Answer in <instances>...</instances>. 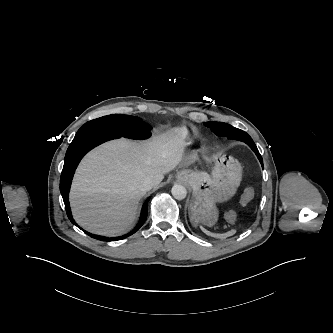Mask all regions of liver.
Instances as JSON below:
<instances>
[{
  "mask_svg": "<svg viewBox=\"0 0 333 333\" xmlns=\"http://www.w3.org/2000/svg\"><path fill=\"white\" fill-rule=\"evenodd\" d=\"M188 144L184 129L175 128L150 140L119 139L95 148L81 162L71 187L76 222L95 234L124 233L145 195L139 182L149 178L156 187L177 166L195 163L197 156L186 151Z\"/></svg>",
  "mask_w": 333,
  "mask_h": 333,
  "instance_id": "obj_1",
  "label": "liver"
}]
</instances>
